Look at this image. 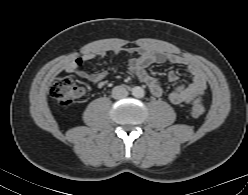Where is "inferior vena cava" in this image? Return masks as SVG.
<instances>
[{"label":"inferior vena cava","instance_id":"602c4592","mask_svg":"<svg viewBox=\"0 0 248 195\" xmlns=\"http://www.w3.org/2000/svg\"><path fill=\"white\" fill-rule=\"evenodd\" d=\"M128 95V91L123 86H116L112 89V97L114 99H122Z\"/></svg>","mask_w":248,"mask_h":195}]
</instances>
